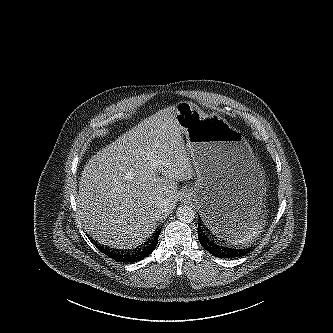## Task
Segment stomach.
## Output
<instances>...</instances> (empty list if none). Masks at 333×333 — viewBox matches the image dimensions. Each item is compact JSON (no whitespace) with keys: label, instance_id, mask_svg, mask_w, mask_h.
Instances as JSON below:
<instances>
[{"label":"stomach","instance_id":"0dacf381","mask_svg":"<svg viewBox=\"0 0 333 333\" xmlns=\"http://www.w3.org/2000/svg\"><path fill=\"white\" fill-rule=\"evenodd\" d=\"M176 119L186 136L197 180L185 197L224 241L252 235L266 221L263 170L239 130L220 115L209 116L196 104L179 102Z\"/></svg>","mask_w":333,"mask_h":333}]
</instances>
